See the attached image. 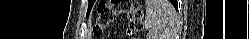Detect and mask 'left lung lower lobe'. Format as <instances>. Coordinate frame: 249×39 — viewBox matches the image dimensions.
<instances>
[{"label": "left lung lower lobe", "instance_id": "0a47b994", "mask_svg": "<svg viewBox=\"0 0 249 39\" xmlns=\"http://www.w3.org/2000/svg\"><path fill=\"white\" fill-rule=\"evenodd\" d=\"M172 4L177 8V2L174 0H171Z\"/></svg>", "mask_w": 249, "mask_h": 39}]
</instances>
